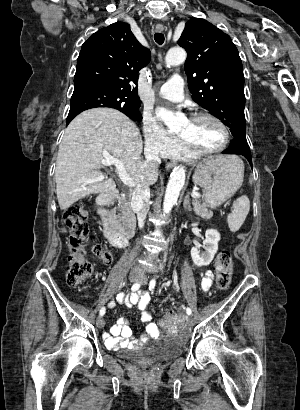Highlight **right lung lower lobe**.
Masks as SVG:
<instances>
[{"instance_id": "98d812e1", "label": "right lung lower lobe", "mask_w": 300, "mask_h": 410, "mask_svg": "<svg viewBox=\"0 0 300 410\" xmlns=\"http://www.w3.org/2000/svg\"><path fill=\"white\" fill-rule=\"evenodd\" d=\"M73 118H74V117L67 119V124H69V122H70Z\"/></svg>"}]
</instances>
